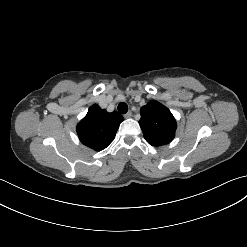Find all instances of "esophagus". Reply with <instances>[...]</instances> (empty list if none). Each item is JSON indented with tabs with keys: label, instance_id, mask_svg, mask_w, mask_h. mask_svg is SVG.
Segmentation results:
<instances>
[{
	"label": "esophagus",
	"instance_id": "esophagus-1",
	"mask_svg": "<svg viewBox=\"0 0 247 247\" xmlns=\"http://www.w3.org/2000/svg\"><path fill=\"white\" fill-rule=\"evenodd\" d=\"M132 116V112L128 111L126 114H124L125 118H130Z\"/></svg>",
	"mask_w": 247,
	"mask_h": 247
}]
</instances>
